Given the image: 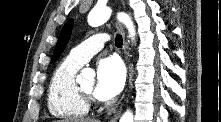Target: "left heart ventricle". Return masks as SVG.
Listing matches in <instances>:
<instances>
[{"mask_svg":"<svg viewBox=\"0 0 221 122\" xmlns=\"http://www.w3.org/2000/svg\"><path fill=\"white\" fill-rule=\"evenodd\" d=\"M82 88L87 91L88 93L93 94L95 89V82L94 80H87L81 84Z\"/></svg>","mask_w":221,"mask_h":122,"instance_id":"obj_1","label":"left heart ventricle"}]
</instances>
